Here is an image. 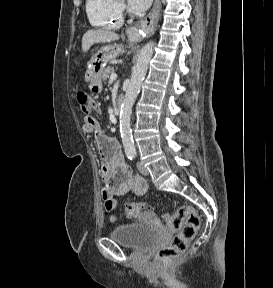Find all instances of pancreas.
<instances>
[{
	"label": "pancreas",
	"instance_id": "obj_1",
	"mask_svg": "<svg viewBox=\"0 0 273 288\" xmlns=\"http://www.w3.org/2000/svg\"><path fill=\"white\" fill-rule=\"evenodd\" d=\"M112 73H114V68H113V67H107V68L103 71L101 78L103 79V82H104V83H106V80L108 79L109 74H112Z\"/></svg>",
	"mask_w": 273,
	"mask_h": 288
}]
</instances>
